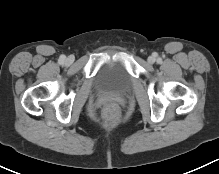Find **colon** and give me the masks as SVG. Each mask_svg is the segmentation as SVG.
Returning <instances> with one entry per match:
<instances>
[{
    "instance_id": "obj_1",
    "label": "colon",
    "mask_w": 219,
    "mask_h": 174,
    "mask_svg": "<svg viewBox=\"0 0 219 174\" xmlns=\"http://www.w3.org/2000/svg\"><path fill=\"white\" fill-rule=\"evenodd\" d=\"M120 108L116 103L109 102L103 108V117L109 123H114L119 119Z\"/></svg>"
}]
</instances>
